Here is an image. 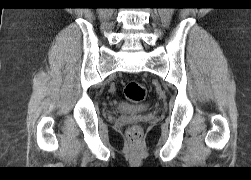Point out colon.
Returning a JSON list of instances; mask_svg holds the SVG:
<instances>
[{
	"label": "colon",
	"instance_id": "1",
	"mask_svg": "<svg viewBox=\"0 0 251 180\" xmlns=\"http://www.w3.org/2000/svg\"><path fill=\"white\" fill-rule=\"evenodd\" d=\"M123 91L126 99L134 103L142 102L147 94L145 86L134 80L125 83ZM128 137L132 142H137L140 138V131L138 127H131L128 130Z\"/></svg>",
	"mask_w": 251,
	"mask_h": 180
}]
</instances>
